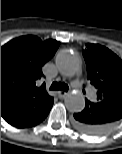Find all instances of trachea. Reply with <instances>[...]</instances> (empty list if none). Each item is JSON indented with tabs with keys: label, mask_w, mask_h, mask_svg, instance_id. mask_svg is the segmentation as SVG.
Instances as JSON below:
<instances>
[{
	"label": "trachea",
	"mask_w": 122,
	"mask_h": 154,
	"mask_svg": "<svg viewBox=\"0 0 122 154\" xmlns=\"http://www.w3.org/2000/svg\"><path fill=\"white\" fill-rule=\"evenodd\" d=\"M69 87L65 83L61 82H53L50 90H62V91H68Z\"/></svg>",
	"instance_id": "obj_1"
}]
</instances>
